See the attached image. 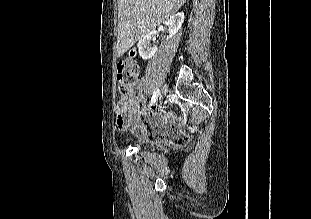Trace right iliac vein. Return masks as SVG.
Masks as SVG:
<instances>
[{
	"mask_svg": "<svg viewBox=\"0 0 311 219\" xmlns=\"http://www.w3.org/2000/svg\"><path fill=\"white\" fill-rule=\"evenodd\" d=\"M167 92H168V87L167 85H164L161 89L160 97L165 96Z\"/></svg>",
	"mask_w": 311,
	"mask_h": 219,
	"instance_id": "1",
	"label": "right iliac vein"
}]
</instances>
